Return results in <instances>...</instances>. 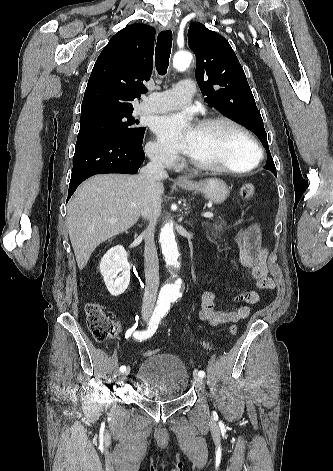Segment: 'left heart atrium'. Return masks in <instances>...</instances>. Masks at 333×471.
<instances>
[{
    "label": "left heart atrium",
    "mask_w": 333,
    "mask_h": 471,
    "mask_svg": "<svg viewBox=\"0 0 333 471\" xmlns=\"http://www.w3.org/2000/svg\"><path fill=\"white\" fill-rule=\"evenodd\" d=\"M160 140L170 148L190 154L197 128L189 113L182 112L160 117L154 126Z\"/></svg>",
    "instance_id": "1"
}]
</instances>
